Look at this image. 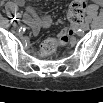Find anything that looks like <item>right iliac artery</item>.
I'll return each mask as SVG.
<instances>
[{
    "mask_svg": "<svg viewBox=\"0 0 103 103\" xmlns=\"http://www.w3.org/2000/svg\"><path fill=\"white\" fill-rule=\"evenodd\" d=\"M16 18H17V20H18L19 18H21V14H20V13H15L14 19H16Z\"/></svg>",
    "mask_w": 103,
    "mask_h": 103,
    "instance_id": "82829eb1",
    "label": "right iliac artery"
}]
</instances>
